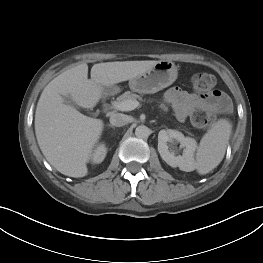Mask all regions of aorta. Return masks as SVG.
Returning a JSON list of instances; mask_svg holds the SVG:
<instances>
[{
    "mask_svg": "<svg viewBox=\"0 0 263 263\" xmlns=\"http://www.w3.org/2000/svg\"><path fill=\"white\" fill-rule=\"evenodd\" d=\"M150 134V130L145 125H140L135 129V135L138 138H147Z\"/></svg>",
    "mask_w": 263,
    "mask_h": 263,
    "instance_id": "obj_1",
    "label": "aorta"
}]
</instances>
